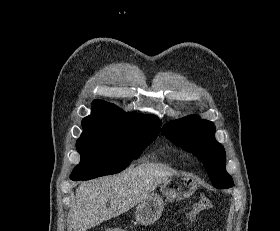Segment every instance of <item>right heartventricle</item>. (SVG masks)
Returning <instances> with one entry per match:
<instances>
[{"mask_svg":"<svg viewBox=\"0 0 280 231\" xmlns=\"http://www.w3.org/2000/svg\"><path fill=\"white\" fill-rule=\"evenodd\" d=\"M169 154H170L173 158H176V159H178V158L181 157L180 153H179L178 151H176V150H169Z\"/></svg>","mask_w":280,"mask_h":231,"instance_id":"right-heart-ventricle-1","label":"right heart ventricle"}]
</instances>
